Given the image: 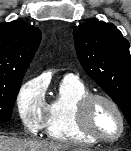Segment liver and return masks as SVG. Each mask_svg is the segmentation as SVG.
I'll return each instance as SVG.
<instances>
[{
  "mask_svg": "<svg viewBox=\"0 0 131 151\" xmlns=\"http://www.w3.org/2000/svg\"><path fill=\"white\" fill-rule=\"evenodd\" d=\"M70 148V145L65 143L0 136V151H67ZM75 150L81 151L82 149Z\"/></svg>",
  "mask_w": 131,
  "mask_h": 151,
  "instance_id": "6515ba94",
  "label": "liver"
}]
</instances>
